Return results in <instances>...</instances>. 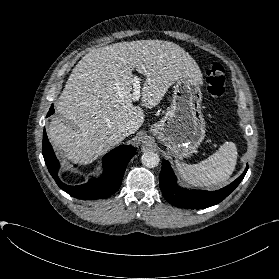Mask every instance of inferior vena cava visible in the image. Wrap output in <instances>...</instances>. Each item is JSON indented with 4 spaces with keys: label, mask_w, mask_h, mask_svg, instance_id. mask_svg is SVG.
<instances>
[{
    "label": "inferior vena cava",
    "mask_w": 279,
    "mask_h": 279,
    "mask_svg": "<svg viewBox=\"0 0 279 279\" xmlns=\"http://www.w3.org/2000/svg\"><path fill=\"white\" fill-rule=\"evenodd\" d=\"M130 134H132V130L130 129V128H124L123 130H122V135L124 136V137H127V136H129Z\"/></svg>",
    "instance_id": "inferior-vena-cava-1"
}]
</instances>
